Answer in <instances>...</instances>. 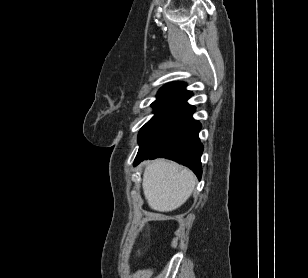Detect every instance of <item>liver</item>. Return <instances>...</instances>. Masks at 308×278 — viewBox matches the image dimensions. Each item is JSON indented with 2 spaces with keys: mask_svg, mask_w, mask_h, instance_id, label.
I'll return each instance as SVG.
<instances>
[{
  "mask_svg": "<svg viewBox=\"0 0 308 278\" xmlns=\"http://www.w3.org/2000/svg\"><path fill=\"white\" fill-rule=\"evenodd\" d=\"M196 177L191 170L175 162L148 161L143 174V192L148 205L160 212L179 208L191 196Z\"/></svg>",
  "mask_w": 308,
  "mask_h": 278,
  "instance_id": "6515ba94",
  "label": "liver"
}]
</instances>
